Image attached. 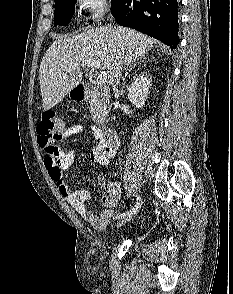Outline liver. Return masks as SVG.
Listing matches in <instances>:
<instances>
[{
  "instance_id": "6515ba94",
  "label": "liver",
  "mask_w": 233,
  "mask_h": 294,
  "mask_svg": "<svg viewBox=\"0 0 233 294\" xmlns=\"http://www.w3.org/2000/svg\"><path fill=\"white\" fill-rule=\"evenodd\" d=\"M154 40L125 27L86 29L73 37H60L46 51L39 69L40 90L44 110H49L82 80L83 60L92 58L107 70L110 84L115 82V69L132 65L149 52Z\"/></svg>"
}]
</instances>
